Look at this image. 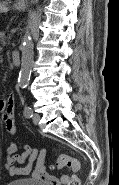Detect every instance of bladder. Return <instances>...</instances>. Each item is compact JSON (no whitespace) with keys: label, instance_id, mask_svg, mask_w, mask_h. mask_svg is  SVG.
Here are the masks:
<instances>
[{"label":"bladder","instance_id":"1","mask_svg":"<svg viewBox=\"0 0 119 185\" xmlns=\"http://www.w3.org/2000/svg\"><path fill=\"white\" fill-rule=\"evenodd\" d=\"M6 185H44L36 179L26 178L8 182Z\"/></svg>","mask_w":119,"mask_h":185}]
</instances>
